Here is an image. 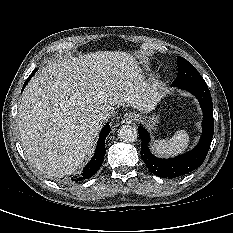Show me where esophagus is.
Segmentation results:
<instances>
[{
  "label": "esophagus",
  "mask_w": 233,
  "mask_h": 233,
  "mask_svg": "<svg viewBox=\"0 0 233 233\" xmlns=\"http://www.w3.org/2000/svg\"><path fill=\"white\" fill-rule=\"evenodd\" d=\"M135 119L136 115L134 113L129 112L123 116L121 123L131 124Z\"/></svg>",
  "instance_id": "1"
}]
</instances>
